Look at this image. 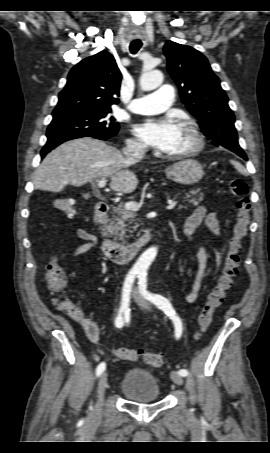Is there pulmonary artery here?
<instances>
[{
  "mask_svg": "<svg viewBox=\"0 0 270 453\" xmlns=\"http://www.w3.org/2000/svg\"><path fill=\"white\" fill-rule=\"evenodd\" d=\"M174 100V90L169 85H164L152 94L135 98L128 109L136 114H159L164 112Z\"/></svg>",
  "mask_w": 270,
  "mask_h": 453,
  "instance_id": "1",
  "label": "pulmonary artery"
}]
</instances>
